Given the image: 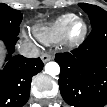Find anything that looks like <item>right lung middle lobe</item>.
I'll use <instances>...</instances> for the list:
<instances>
[{
	"instance_id": "dd1d6c3e",
	"label": "right lung middle lobe",
	"mask_w": 107,
	"mask_h": 107,
	"mask_svg": "<svg viewBox=\"0 0 107 107\" xmlns=\"http://www.w3.org/2000/svg\"><path fill=\"white\" fill-rule=\"evenodd\" d=\"M22 15L19 10L0 4V35H18Z\"/></svg>"
}]
</instances>
